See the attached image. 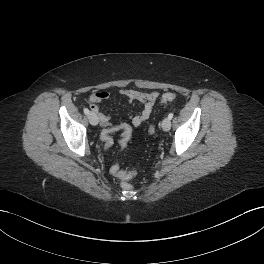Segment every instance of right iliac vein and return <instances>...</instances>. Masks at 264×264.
Here are the masks:
<instances>
[{
	"label": "right iliac vein",
	"instance_id": "right-iliac-vein-1",
	"mask_svg": "<svg viewBox=\"0 0 264 264\" xmlns=\"http://www.w3.org/2000/svg\"><path fill=\"white\" fill-rule=\"evenodd\" d=\"M88 119H89L90 124H92V125H97L98 124V118H97L95 113L90 112L88 114Z\"/></svg>",
	"mask_w": 264,
	"mask_h": 264
}]
</instances>
